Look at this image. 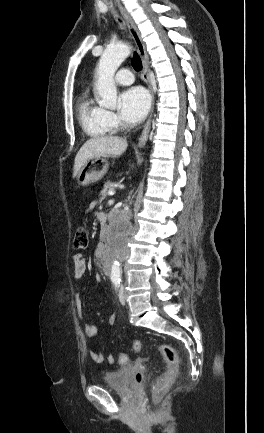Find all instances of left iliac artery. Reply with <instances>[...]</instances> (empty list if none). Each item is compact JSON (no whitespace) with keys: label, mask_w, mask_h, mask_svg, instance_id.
Returning a JSON list of instances; mask_svg holds the SVG:
<instances>
[{"label":"left iliac artery","mask_w":264,"mask_h":433,"mask_svg":"<svg viewBox=\"0 0 264 433\" xmlns=\"http://www.w3.org/2000/svg\"><path fill=\"white\" fill-rule=\"evenodd\" d=\"M114 283L115 288L117 289L120 285L121 279L120 278H115L112 280Z\"/></svg>","instance_id":"left-iliac-artery-1"}]
</instances>
